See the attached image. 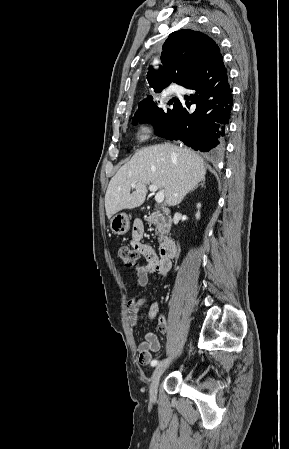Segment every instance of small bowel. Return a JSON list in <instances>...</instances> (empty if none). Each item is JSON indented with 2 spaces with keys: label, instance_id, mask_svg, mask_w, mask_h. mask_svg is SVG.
Listing matches in <instances>:
<instances>
[{
  "label": "small bowel",
  "instance_id": "1",
  "mask_svg": "<svg viewBox=\"0 0 289 449\" xmlns=\"http://www.w3.org/2000/svg\"><path fill=\"white\" fill-rule=\"evenodd\" d=\"M144 233V226L140 220L133 223L131 233V245L145 258L146 263L136 267L137 286L144 288L149 282L150 275H156L165 278L170 269V259L158 256L155 250L142 241ZM146 302L145 298H131L127 302V309L129 315V322L132 326L137 325L139 321L140 307ZM149 317L158 320V329L161 333L166 334L168 325L166 319L160 313V304L153 302L148 311ZM161 348L160 342L156 334L148 330L144 334V340L138 345L139 362L142 365L150 364L152 360V353L158 352Z\"/></svg>",
  "mask_w": 289,
  "mask_h": 449
}]
</instances>
